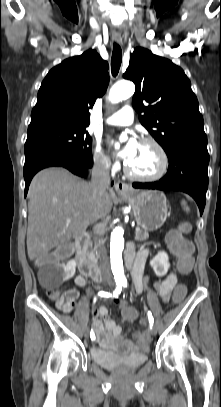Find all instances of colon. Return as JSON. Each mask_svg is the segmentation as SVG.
Returning <instances> with one entry per match:
<instances>
[{
    "label": "colon",
    "mask_w": 221,
    "mask_h": 407,
    "mask_svg": "<svg viewBox=\"0 0 221 407\" xmlns=\"http://www.w3.org/2000/svg\"><path fill=\"white\" fill-rule=\"evenodd\" d=\"M190 231V224H183L180 229L171 231L167 236V243L171 250L178 256V269L180 276L185 278L191 271L193 264L194 243L191 239H184V234ZM63 246H53L52 252H43L39 259L35 260V267L42 266L43 261H68L69 249L68 242H63ZM50 298L54 299L59 309L68 311L74 304V298L68 291H47ZM188 297V287L185 282H178L173 285L169 298L171 304H184ZM134 305H122L120 307V316L125 321L137 322L138 312Z\"/></svg>",
    "instance_id": "obj_1"
}]
</instances>
